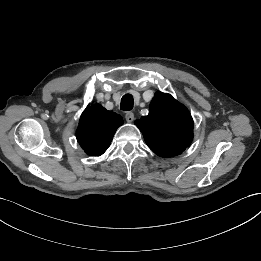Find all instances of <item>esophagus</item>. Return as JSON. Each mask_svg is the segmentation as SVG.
Wrapping results in <instances>:
<instances>
[{"mask_svg":"<svg viewBox=\"0 0 261 261\" xmlns=\"http://www.w3.org/2000/svg\"><path fill=\"white\" fill-rule=\"evenodd\" d=\"M125 119L128 123H131L134 121V114L132 112H127L125 114Z\"/></svg>","mask_w":261,"mask_h":261,"instance_id":"34e87169","label":"esophagus"}]
</instances>
